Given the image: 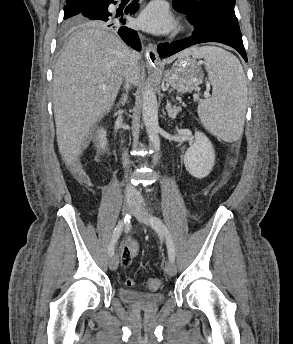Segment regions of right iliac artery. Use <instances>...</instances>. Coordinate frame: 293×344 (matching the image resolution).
<instances>
[{
    "label": "right iliac artery",
    "mask_w": 293,
    "mask_h": 344,
    "mask_svg": "<svg viewBox=\"0 0 293 344\" xmlns=\"http://www.w3.org/2000/svg\"><path fill=\"white\" fill-rule=\"evenodd\" d=\"M131 219L130 214H126L123 220H121L117 226L115 227L112 235V239L110 241L109 247H108V255L112 257L114 255L115 250V244L117 243V240L119 239L121 232L123 230V227L125 224L129 223Z\"/></svg>",
    "instance_id": "1"
}]
</instances>
